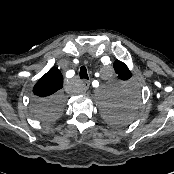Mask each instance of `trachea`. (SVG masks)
I'll list each match as a JSON object with an SVG mask.
<instances>
[{
  "label": "trachea",
  "instance_id": "1",
  "mask_svg": "<svg viewBox=\"0 0 174 174\" xmlns=\"http://www.w3.org/2000/svg\"><path fill=\"white\" fill-rule=\"evenodd\" d=\"M79 75H80V79H89L88 74H87V69L85 66H82L80 68Z\"/></svg>",
  "mask_w": 174,
  "mask_h": 174
}]
</instances>
